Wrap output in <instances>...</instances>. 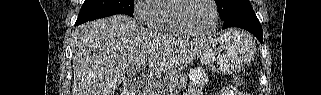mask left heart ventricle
<instances>
[{
  "mask_svg": "<svg viewBox=\"0 0 321 95\" xmlns=\"http://www.w3.org/2000/svg\"><path fill=\"white\" fill-rule=\"evenodd\" d=\"M183 20L198 31H207L213 25V7L208 0H194L182 10Z\"/></svg>",
  "mask_w": 321,
  "mask_h": 95,
  "instance_id": "b2bd125f",
  "label": "left heart ventricle"
}]
</instances>
